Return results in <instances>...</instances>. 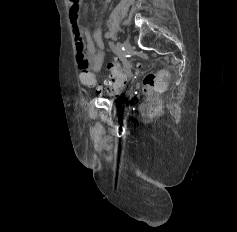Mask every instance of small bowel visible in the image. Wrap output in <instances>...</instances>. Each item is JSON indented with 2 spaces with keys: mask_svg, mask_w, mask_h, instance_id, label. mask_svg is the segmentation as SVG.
Masks as SVG:
<instances>
[{
  "mask_svg": "<svg viewBox=\"0 0 237 232\" xmlns=\"http://www.w3.org/2000/svg\"><path fill=\"white\" fill-rule=\"evenodd\" d=\"M111 0H106L109 3ZM70 20L75 38L77 64L80 70L98 73L104 61V44L102 30L97 28L91 34L80 23V8L82 0H70ZM102 90V88H99ZM116 92V91H113Z\"/></svg>",
  "mask_w": 237,
  "mask_h": 232,
  "instance_id": "small-bowel-1",
  "label": "small bowel"
}]
</instances>
